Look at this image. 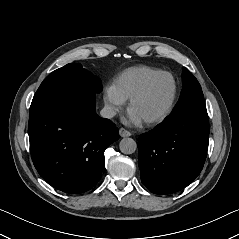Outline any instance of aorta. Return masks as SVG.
Masks as SVG:
<instances>
[{"label": "aorta", "mask_w": 239, "mask_h": 239, "mask_svg": "<svg viewBox=\"0 0 239 239\" xmlns=\"http://www.w3.org/2000/svg\"><path fill=\"white\" fill-rule=\"evenodd\" d=\"M119 148L123 154H133L137 149V143L132 138H123L119 143Z\"/></svg>", "instance_id": "1"}]
</instances>
